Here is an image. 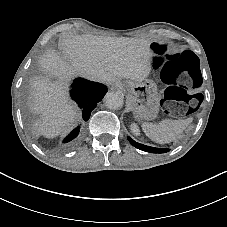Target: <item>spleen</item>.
Here are the masks:
<instances>
[{
  "instance_id": "3e777b00",
  "label": "spleen",
  "mask_w": 227,
  "mask_h": 227,
  "mask_svg": "<svg viewBox=\"0 0 227 227\" xmlns=\"http://www.w3.org/2000/svg\"><path fill=\"white\" fill-rule=\"evenodd\" d=\"M191 121V118L186 120L163 118L156 124L143 123L141 127L145 134L152 140L158 143H166L175 140L181 130L190 124Z\"/></svg>"
}]
</instances>
